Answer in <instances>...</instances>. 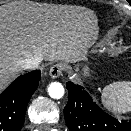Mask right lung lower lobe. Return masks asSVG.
Returning <instances> with one entry per match:
<instances>
[{
  "instance_id": "right-lung-lower-lobe-1",
  "label": "right lung lower lobe",
  "mask_w": 131,
  "mask_h": 131,
  "mask_svg": "<svg viewBox=\"0 0 131 131\" xmlns=\"http://www.w3.org/2000/svg\"><path fill=\"white\" fill-rule=\"evenodd\" d=\"M40 77V71L22 75L0 94V131H20L28 102Z\"/></svg>"
}]
</instances>
